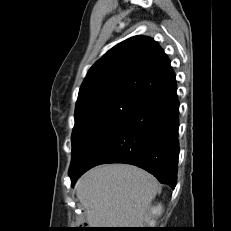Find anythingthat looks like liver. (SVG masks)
<instances>
[{
    "label": "liver",
    "instance_id": "liver-1",
    "mask_svg": "<svg viewBox=\"0 0 231 231\" xmlns=\"http://www.w3.org/2000/svg\"><path fill=\"white\" fill-rule=\"evenodd\" d=\"M76 195L92 228H139L161 187L151 174L127 164H110L86 172Z\"/></svg>",
    "mask_w": 231,
    "mask_h": 231
}]
</instances>
